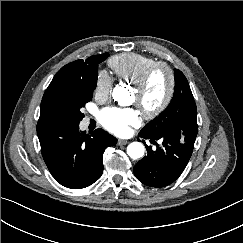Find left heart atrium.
I'll list each match as a JSON object with an SVG mask.
<instances>
[{"label":"left heart atrium","instance_id":"1","mask_svg":"<svg viewBox=\"0 0 243 243\" xmlns=\"http://www.w3.org/2000/svg\"><path fill=\"white\" fill-rule=\"evenodd\" d=\"M101 124L110 132L125 135L131 126L139 123L138 112L134 108H106L99 115Z\"/></svg>","mask_w":243,"mask_h":243}]
</instances>
